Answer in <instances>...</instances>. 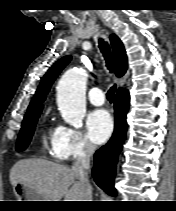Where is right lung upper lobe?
I'll return each mask as SVG.
<instances>
[{
	"instance_id": "right-lung-upper-lobe-1",
	"label": "right lung upper lobe",
	"mask_w": 176,
	"mask_h": 211,
	"mask_svg": "<svg viewBox=\"0 0 176 211\" xmlns=\"http://www.w3.org/2000/svg\"><path fill=\"white\" fill-rule=\"evenodd\" d=\"M110 41L112 44V50L114 55V69L115 74L117 77H121L125 74L127 69V56L125 53V49L123 47L122 42L120 39L115 35H110ZM71 60V56H65L62 59H60L58 62H56L44 75L42 78V81L28 107L26 116L35 114V113H41L43 105L42 102L45 100L46 95L58 76V74L62 71V69L69 63ZM124 91L123 88H119L118 92Z\"/></svg>"
}]
</instances>
